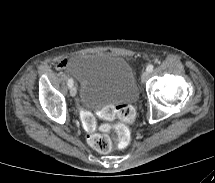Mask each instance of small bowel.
<instances>
[{
  "label": "small bowel",
  "instance_id": "1",
  "mask_svg": "<svg viewBox=\"0 0 215 183\" xmlns=\"http://www.w3.org/2000/svg\"><path fill=\"white\" fill-rule=\"evenodd\" d=\"M69 64H70V61L68 59H63L57 64V69H63Z\"/></svg>",
  "mask_w": 215,
  "mask_h": 183
}]
</instances>
